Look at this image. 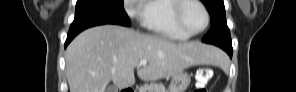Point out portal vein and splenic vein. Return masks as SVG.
Wrapping results in <instances>:
<instances>
[{"mask_svg":"<svg viewBox=\"0 0 296 92\" xmlns=\"http://www.w3.org/2000/svg\"><path fill=\"white\" fill-rule=\"evenodd\" d=\"M146 64H147V60L146 59H142L139 62V66L146 65Z\"/></svg>","mask_w":296,"mask_h":92,"instance_id":"portal-vein-and-splenic-vein-1","label":"portal vein and splenic vein"}]
</instances>
